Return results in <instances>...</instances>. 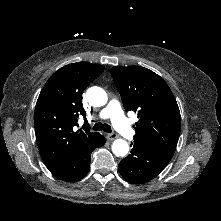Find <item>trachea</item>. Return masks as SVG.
Here are the masks:
<instances>
[{
    "label": "trachea",
    "mask_w": 221,
    "mask_h": 221,
    "mask_svg": "<svg viewBox=\"0 0 221 221\" xmlns=\"http://www.w3.org/2000/svg\"><path fill=\"white\" fill-rule=\"evenodd\" d=\"M93 130H96V131H104V132H107V133H110L112 130H111V127L110 125L108 124H103V123H96L94 126H93Z\"/></svg>",
    "instance_id": "obj_1"
}]
</instances>
